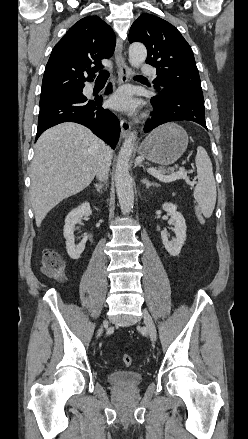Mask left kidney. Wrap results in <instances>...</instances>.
Masks as SVG:
<instances>
[{
  "mask_svg": "<svg viewBox=\"0 0 248 439\" xmlns=\"http://www.w3.org/2000/svg\"><path fill=\"white\" fill-rule=\"evenodd\" d=\"M162 209L170 214L171 218L168 223L174 225L173 231L176 235L175 239L169 241L167 232L162 231V243L171 256H178L186 240L187 227L185 219L180 212H177V206L175 204L166 202L162 205Z\"/></svg>",
  "mask_w": 248,
  "mask_h": 439,
  "instance_id": "left-kidney-1",
  "label": "left kidney"
}]
</instances>
